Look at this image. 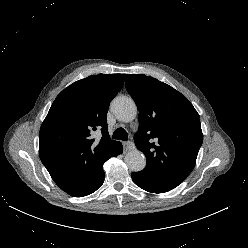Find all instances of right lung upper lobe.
<instances>
[{"mask_svg": "<svg viewBox=\"0 0 248 248\" xmlns=\"http://www.w3.org/2000/svg\"><path fill=\"white\" fill-rule=\"evenodd\" d=\"M125 74H98L74 82L53 102L39 133V155L54 182L71 196L88 189L119 142L108 134L107 112ZM102 137L94 142L92 134Z\"/></svg>", "mask_w": 248, "mask_h": 248, "instance_id": "1", "label": "right lung upper lobe"}]
</instances>
